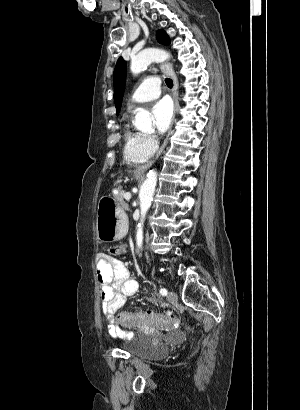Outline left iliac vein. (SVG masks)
I'll use <instances>...</instances> for the list:
<instances>
[{
	"label": "left iliac vein",
	"mask_w": 300,
	"mask_h": 410,
	"mask_svg": "<svg viewBox=\"0 0 300 410\" xmlns=\"http://www.w3.org/2000/svg\"><path fill=\"white\" fill-rule=\"evenodd\" d=\"M167 300L171 303H174L178 300V296L174 291H169L167 295Z\"/></svg>",
	"instance_id": "4c4485c4"
}]
</instances>
